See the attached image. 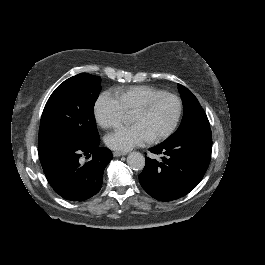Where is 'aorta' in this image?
Masks as SVG:
<instances>
[{"instance_id":"762f6f07","label":"aorta","mask_w":265,"mask_h":265,"mask_svg":"<svg viewBox=\"0 0 265 265\" xmlns=\"http://www.w3.org/2000/svg\"><path fill=\"white\" fill-rule=\"evenodd\" d=\"M127 164L135 171H140L145 166V158L140 152H131L127 157Z\"/></svg>"}]
</instances>
